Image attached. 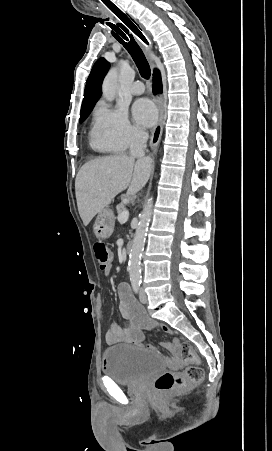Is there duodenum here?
Segmentation results:
<instances>
[{"instance_id":"obj_1","label":"duodenum","mask_w":272,"mask_h":451,"mask_svg":"<svg viewBox=\"0 0 272 451\" xmlns=\"http://www.w3.org/2000/svg\"><path fill=\"white\" fill-rule=\"evenodd\" d=\"M131 249H132V243H128V244L126 245V252H127V253H130Z\"/></svg>"}]
</instances>
